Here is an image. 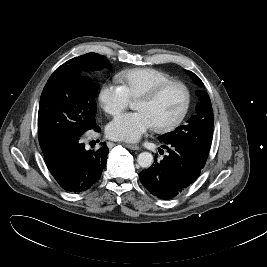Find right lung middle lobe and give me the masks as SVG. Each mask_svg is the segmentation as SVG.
I'll list each match as a JSON object with an SVG mask.
<instances>
[{"mask_svg": "<svg viewBox=\"0 0 267 267\" xmlns=\"http://www.w3.org/2000/svg\"><path fill=\"white\" fill-rule=\"evenodd\" d=\"M108 66L106 57L87 53L67 61L53 72L43 89L38 112L39 144L43 152L67 136L82 135L97 126V87L80 76V72Z\"/></svg>", "mask_w": 267, "mask_h": 267, "instance_id": "dd1d6c3e", "label": "right lung middle lobe"}]
</instances>
